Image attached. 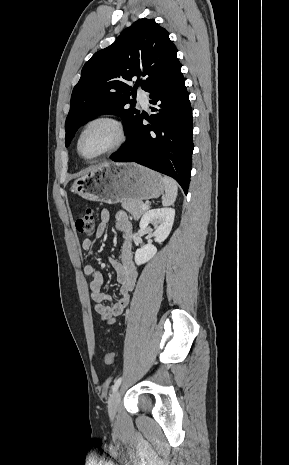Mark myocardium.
<instances>
[{
	"label": "myocardium",
	"instance_id": "obj_1",
	"mask_svg": "<svg viewBox=\"0 0 289 465\" xmlns=\"http://www.w3.org/2000/svg\"><path fill=\"white\" fill-rule=\"evenodd\" d=\"M96 123H106V124H109L111 125L115 131H116V134H117V139L115 141V143L109 147L108 149L94 155V156H90V157H87V156H84L81 151H80V142H81V139L83 137V135L85 134V132L89 129V127H91L92 125L96 124ZM127 139V133H126V128H125V125L123 123V121L121 119H119L118 117L114 116V115H111V114H97L95 116H92L91 118H89L84 124L83 126L81 127L77 137H76V142H75V150H76V153L77 155L84 161L86 162H93V161H96L106 155H109V154H112L114 153L115 151H117L118 149H120L123 144L125 143Z\"/></svg>",
	"mask_w": 289,
	"mask_h": 465
}]
</instances>
